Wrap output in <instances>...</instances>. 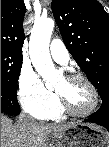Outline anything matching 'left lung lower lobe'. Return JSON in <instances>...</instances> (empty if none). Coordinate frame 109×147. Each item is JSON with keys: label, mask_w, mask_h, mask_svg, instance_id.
<instances>
[{"label": "left lung lower lobe", "mask_w": 109, "mask_h": 147, "mask_svg": "<svg viewBox=\"0 0 109 147\" xmlns=\"http://www.w3.org/2000/svg\"><path fill=\"white\" fill-rule=\"evenodd\" d=\"M83 122H93L105 127L109 131V97L102 101V105L96 114Z\"/></svg>", "instance_id": "left-lung-lower-lobe-1"}]
</instances>
